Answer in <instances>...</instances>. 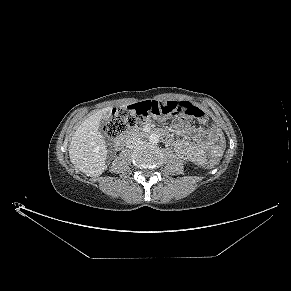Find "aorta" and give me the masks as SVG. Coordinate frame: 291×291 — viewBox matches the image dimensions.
Returning <instances> with one entry per match:
<instances>
[{"instance_id":"aorta-1","label":"aorta","mask_w":291,"mask_h":291,"mask_svg":"<svg viewBox=\"0 0 291 291\" xmlns=\"http://www.w3.org/2000/svg\"><path fill=\"white\" fill-rule=\"evenodd\" d=\"M159 135L157 134H151L149 136V142L152 143V144H157L159 142Z\"/></svg>"}]
</instances>
